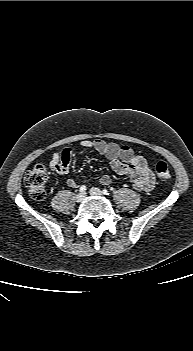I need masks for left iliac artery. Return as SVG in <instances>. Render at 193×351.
I'll use <instances>...</instances> for the list:
<instances>
[{
	"label": "left iliac artery",
	"mask_w": 193,
	"mask_h": 351,
	"mask_svg": "<svg viewBox=\"0 0 193 351\" xmlns=\"http://www.w3.org/2000/svg\"><path fill=\"white\" fill-rule=\"evenodd\" d=\"M102 193H103L104 195H109V191H108L107 189H103Z\"/></svg>",
	"instance_id": "1"
}]
</instances>
